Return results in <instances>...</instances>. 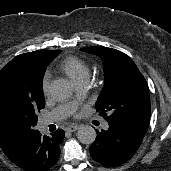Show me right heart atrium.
I'll list each match as a JSON object with an SVG mask.
<instances>
[{
    "label": "right heart atrium",
    "mask_w": 171,
    "mask_h": 171,
    "mask_svg": "<svg viewBox=\"0 0 171 171\" xmlns=\"http://www.w3.org/2000/svg\"><path fill=\"white\" fill-rule=\"evenodd\" d=\"M49 86H50V74L46 73L43 77V91L45 94L49 93Z\"/></svg>",
    "instance_id": "d8ad5b80"
}]
</instances>
